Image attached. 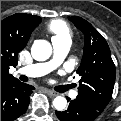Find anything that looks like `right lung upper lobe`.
I'll return each instance as SVG.
<instances>
[{
	"label": "right lung upper lobe",
	"instance_id": "1",
	"mask_svg": "<svg viewBox=\"0 0 121 121\" xmlns=\"http://www.w3.org/2000/svg\"><path fill=\"white\" fill-rule=\"evenodd\" d=\"M40 22V17L24 13L1 21V84L18 80L9 73V67L17 65V54L26 46L32 31Z\"/></svg>",
	"mask_w": 121,
	"mask_h": 121
}]
</instances>
